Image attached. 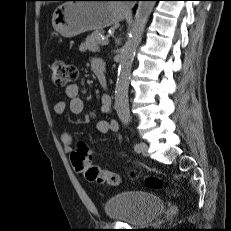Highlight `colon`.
Instances as JSON below:
<instances>
[{
	"instance_id": "5ec220e1",
	"label": "colon",
	"mask_w": 231,
	"mask_h": 231,
	"mask_svg": "<svg viewBox=\"0 0 231 231\" xmlns=\"http://www.w3.org/2000/svg\"><path fill=\"white\" fill-rule=\"evenodd\" d=\"M51 78L57 87H67L77 78V69L64 61L55 60L51 64ZM93 152L84 143H79L71 154V161L76 170L83 172L91 182L117 186L121 182L118 174L92 164ZM146 185L151 189H159L162 182L155 176L146 178Z\"/></svg>"
}]
</instances>
